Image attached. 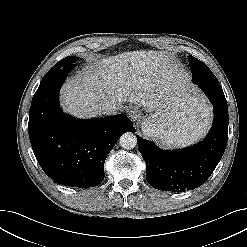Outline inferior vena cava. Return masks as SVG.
I'll list each match as a JSON object with an SVG mask.
<instances>
[{"label":"inferior vena cava","instance_id":"602c4592","mask_svg":"<svg viewBox=\"0 0 247 247\" xmlns=\"http://www.w3.org/2000/svg\"><path fill=\"white\" fill-rule=\"evenodd\" d=\"M119 105L113 102H106L101 106L102 113L105 115H113L119 110Z\"/></svg>","mask_w":247,"mask_h":247}]
</instances>
